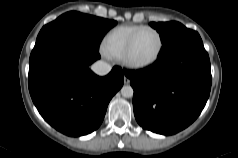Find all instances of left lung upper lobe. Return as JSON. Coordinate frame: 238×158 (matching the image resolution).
<instances>
[{
	"label": "left lung upper lobe",
	"mask_w": 238,
	"mask_h": 158,
	"mask_svg": "<svg viewBox=\"0 0 238 158\" xmlns=\"http://www.w3.org/2000/svg\"><path fill=\"white\" fill-rule=\"evenodd\" d=\"M150 25L160 33L161 41L163 43L160 53H163L184 41L199 36L196 31L190 30L181 23L175 21L165 23L152 22Z\"/></svg>",
	"instance_id": "obj_1"
}]
</instances>
